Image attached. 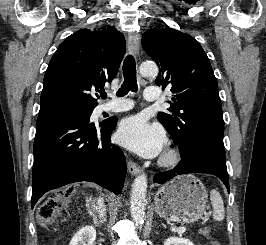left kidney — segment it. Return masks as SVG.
<instances>
[{
  "label": "left kidney",
  "mask_w": 266,
  "mask_h": 245,
  "mask_svg": "<svg viewBox=\"0 0 266 245\" xmlns=\"http://www.w3.org/2000/svg\"><path fill=\"white\" fill-rule=\"evenodd\" d=\"M164 245H193L190 239H183V237H169L165 239Z\"/></svg>",
  "instance_id": "5707ae66"
}]
</instances>
